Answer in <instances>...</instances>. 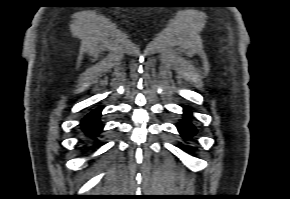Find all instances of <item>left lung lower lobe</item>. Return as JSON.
Returning <instances> with one entry per match:
<instances>
[{
    "label": "left lung lower lobe",
    "mask_w": 290,
    "mask_h": 199,
    "mask_svg": "<svg viewBox=\"0 0 290 199\" xmlns=\"http://www.w3.org/2000/svg\"><path fill=\"white\" fill-rule=\"evenodd\" d=\"M191 113L188 108H185V119L178 125L180 134L188 139L196 134V129L189 123Z\"/></svg>",
    "instance_id": "left-lung-lower-lobe-1"
}]
</instances>
